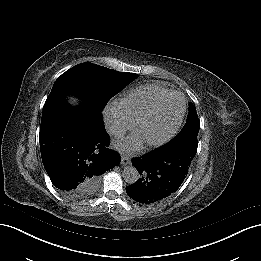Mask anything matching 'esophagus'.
Wrapping results in <instances>:
<instances>
[{"instance_id":"1","label":"esophagus","mask_w":261,"mask_h":261,"mask_svg":"<svg viewBox=\"0 0 261 261\" xmlns=\"http://www.w3.org/2000/svg\"><path fill=\"white\" fill-rule=\"evenodd\" d=\"M121 164L124 166L130 164V157L128 155H122Z\"/></svg>"}]
</instances>
